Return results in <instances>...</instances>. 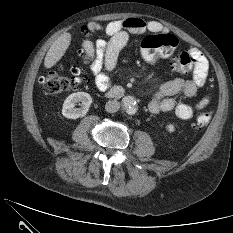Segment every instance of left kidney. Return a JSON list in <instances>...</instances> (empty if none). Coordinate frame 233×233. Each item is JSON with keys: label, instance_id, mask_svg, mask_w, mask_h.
I'll list each match as a JSON object with an SVG mask.
<instances>
[{"label": "left kidney", "instance_id": "left-kidney-1", "mask_svg": "<svg viewBox=\"0 0 233 233\" xmlns=\"http://www.w3.org/2000/svg\"><path fill=\"white\" fill-rule=\"evenodd\" d=\"M166 129H167L168 132L172 133V132L175 131V126L172 125V124H168V125L166 126Z\"/></svg>", "mask_w": 233, "mask_h": 233}]
</instances>
